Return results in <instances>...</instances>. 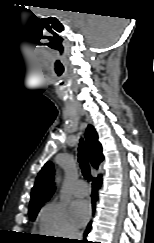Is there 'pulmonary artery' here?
I'll return each instance as SVG.
<instances>
[{"instance_id":"obj_1","label":"pulmonary artery","mask_w":154,"mask_h":243,"mask_svg":"<svg viewBox=\"0 0 154 243\" xmlns=\"http://www.w3.org/2000/svg\"><path fill=\"white\" fill-rule=\"evenodd\" d=\"M88 192H89V188L87 187L85 181L83 180L78 181L73 190L75 196H85L88 194Z\"/></svg>"}]
</instances>
